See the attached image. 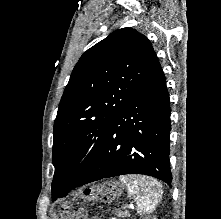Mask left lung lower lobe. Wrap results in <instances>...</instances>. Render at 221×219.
Masks as SVG:
<instances>
[{
  "instance_id": "obj_1",
  "label": "left lung lower lobe",
  "mask_w": 221,
  "mask_h": 219,
  "mask_svg": "<svg viewBox=\"0 0 221 219\" xmlns=\"http://www.w3.org/2000/svg\"><path fill=\"white\" fill-rule=\"evenodd\" d=\"M169 137V94L156 59L144 83L116 116L99 153L75 187L125 174L149 175L170 185Z\"/></svg>"
}]
</instances>
